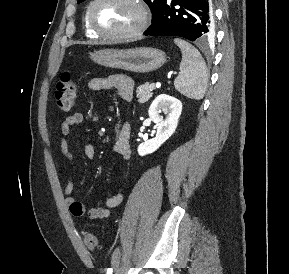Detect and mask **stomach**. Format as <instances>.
<instances>
[{
    "instance_id": "0dacf381",
    "label": "stomach",
    "mask_w": 289,
    "mask_h": 274,
    "mask_svg": "<svg viewBox=\"0 0 289 274\" xmlns=\"http://www.w3.org/2000/svg\"><path fill=\"white\" fill-rule=\"evenodd\" d=\"M97 64L137 73H147L162 67L166 63V54L155 48L140 47L117 50L104 49L90 53Z\"/></svg>"
}]
</instances>
